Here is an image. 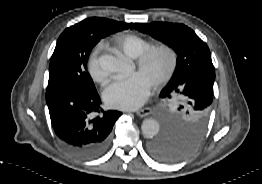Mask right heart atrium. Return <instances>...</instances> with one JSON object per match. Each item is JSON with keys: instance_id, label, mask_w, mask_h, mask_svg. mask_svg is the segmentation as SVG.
<instances>
[{"instance_id": "1", "label": "right heart atrium", "mask_w": 262, "mask_h": 184, "mask_svg": "<svg viewBox=\"0 0 262 184\" xmlns=\"http://www.w3.org/2000/svg\"><path fill=\"white\" fill-rule=\"evenodd\" d=\"M88 70L91 79L102 86L106 85L112 76L107 59L100 56L97 52L91 54Z\"/></svg>"}]
</instances>
